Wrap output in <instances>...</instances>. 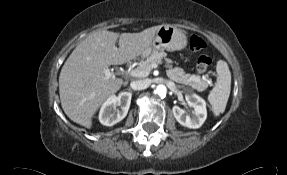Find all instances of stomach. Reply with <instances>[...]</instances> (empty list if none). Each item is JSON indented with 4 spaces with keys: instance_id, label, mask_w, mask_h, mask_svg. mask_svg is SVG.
Returning <instances> with one entry per match:
<instances>
[{
    "instance_id": "0dacf381",
    "label": "stomach",
    "mask_w": 287,
    "mask_h": 175,
    "mask_svg": "<svg viewBox=\"0 0 287 175\" xmlns=\"http://www.w3.org/2000/svg\"><path fill=\"white\" fill-rule=\"evenodd\" d=\"M187 45L185 33L173 25H160L155 33L151 46L143 53V57L149 56L155 50L177 51Z\"/></svg>"
}]
</instances>
